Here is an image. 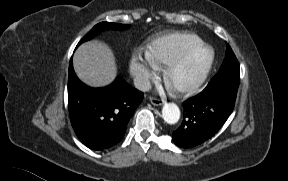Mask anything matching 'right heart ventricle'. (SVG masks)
I'll return each mask as SVG.
<instances>
[{
	"instance_id": "1",
	"label": "right heart ventricle",
	"mask_w": 288,
	"mask_h": 181,
	"mask_svg": "<svg viewBox=\"0 0 288 181\" xmlns=\"http://www.w3.org/2000/svg\"><path fill=\"white\" fill-rule=\"evenodd\" d=\"M200 36L190 32H175L154 39L146 54L158 67L166 66L186 51L203 44Z\"/></svg>"
}]
</instances>
